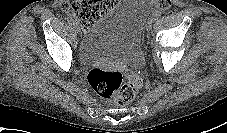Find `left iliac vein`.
Masks as SVG:
<instances>
[{
  "label": "left iliac vein",
  "mask_w": 227,
  "mask_h": 133,
  "mask_svg": "<svg viewBox=\"0 0 227 133\" xmlns=\"http://www.w3.org/2000/svg\"><path fill=\"white\" fill-rule=\"evenodd\" d=\"M153 22H154L153 18H149V20L146 23V30L147 31L151 30Z\"/></svg>",
  "instance_id": "1"
}]
</instances>
